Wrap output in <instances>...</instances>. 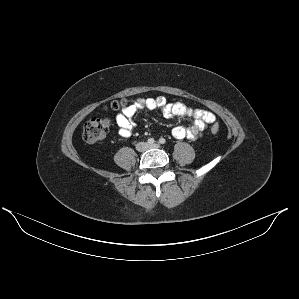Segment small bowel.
Wrapping results in <instances>:
<instances>
[{
  "instance_id": "obj_1",
  "label": "small bowel",
  "mask_w": 299,
  "mask_h": 299,
  "mask_svg": "<svg viewBox=\"0 0 299 299\" xmlns=\"http://www.w3.org/2000/svg\"><path fill=\"white\" fill-rule=\"evenodd\" d=\"M160 108L165 117L179 116L193 119L191 125L176 126L172 129V135L177 139H197L208 124L216 121V116L206 110L193 109L182 103H169L164 96L156 98L138 99L133 105L123 109L116 117L119 135L124 138L132 136L134 131V116L144 109L155 110Z\"/></svg>"
}]
</instances>
